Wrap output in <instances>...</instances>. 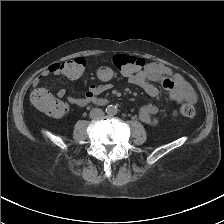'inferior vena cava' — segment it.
I'll list each match as a JSON object with an SVG mask.
<instances>
[{
	"label": "inferior vena cava",
	"mask_w": 224,
	"mask_h": 224,
	"mask_svg": "<svg viewBox=\"0 0 224 224\" xmlns=\"http://www.w3.org/2000/svg\"><path fill=\"white\" fill-rule=\"evenodd\" d=\"M104 115V111L101 110L100 108H94L90 111V118L92 119H98L101 118Z\"/></svg>",
	"instance_id": "inferior-vena-cava-1"
}]
</instances>
